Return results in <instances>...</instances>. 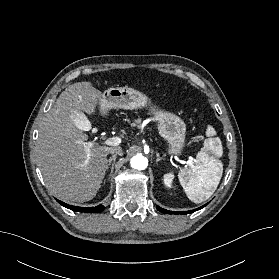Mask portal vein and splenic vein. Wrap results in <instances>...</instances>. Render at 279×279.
Masks as SVG:
<instances>
[{
  "label": "portal vein and splenic vein",
  "mask_w": 279,
  "mask_h": 279,
  "mask_svg": "<svg viewBox=\"0 0 279 279\" xmlns=\"http://www.w3.org/2000/svg\"><path fill=\"white\" fill-rule=\"evenodd\" d=\"M82 130H86V127L85 126H82L80 127ZM121 143V139L119 137H111V138H108L106 139L105 141L103 142H100V143H95V142H86L84 143V147H85V151H86V161L85 163L87 164L91 158V153H90V148L94 145H98V144H102V145H108V146H117ZM187 164L188 165H192V160L189 159L187 161Z\"/></svg>",
  "instance_id": "1"
}]
</instances>
